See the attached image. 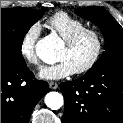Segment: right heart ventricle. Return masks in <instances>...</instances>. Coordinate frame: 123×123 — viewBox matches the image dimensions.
Returning <instances> with one entry per match:
<instances>
[{
  "label": "right heart ventricle",
  "mask_w": 123,
  "mask_h": 123,
  "mask_svg": "<svg viewBox=\"0 0 123 123\" xmlns=\"http://www.w3.org/2000/svg\"><path fill=\"white\" fill-rule=\"evenodd\" d=\"M46 26L63 40L75 32L86 28V24L67 12H57L46 21Z\"/></svg>",
  "instance_id": "e07e8e85"
}]
</instances>
